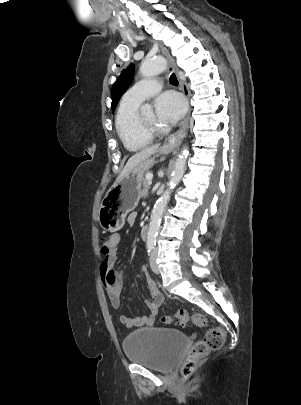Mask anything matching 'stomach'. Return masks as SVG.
<instances>
[{
	"mask_svg": "<svg viewBox=\"0 0 301 405\" xmlns=\"http://www.w3.org/2000/svg\"><path fill=\"white\" fill-rule=\"evenodd\" d=\"M170 151L168 148H160L152 157L143 160L111 186L100 207L99 223L103 229L114 231L122 228L126 215L134 210L139 202L145 172L153 166L159 154Z\"/></svg>",
	"mask_w": 301,
	"mask_h": 405,
	"instance_id": "stomach-1",
	"label": "stomach"
}]
</instances>
